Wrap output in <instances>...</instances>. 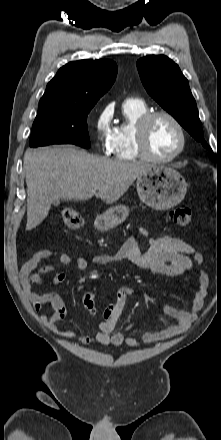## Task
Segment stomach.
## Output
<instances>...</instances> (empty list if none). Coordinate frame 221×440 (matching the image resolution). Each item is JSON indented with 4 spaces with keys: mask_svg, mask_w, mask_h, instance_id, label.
I'll use <instances>...</instances> for the list:
<instances>
[{
    "mask_svg": "<svg viewBox=\"0 0 221 440\" xmlns=\"http://www.w3.org/2000/svg\"><path fill=\"white\" fill-rule=\"evenodd\" d=\"M137 192L140 199L156 210L170 209L185 197L187 183L176 170L165 166H153L137 178ZM129 215L125 205L109 208L95 220V227L107 231L117 227Z\"/></svg>",
    "mask_w": 221,
    "mask_h": 440,
    "instance_id": "1",
    "label": "stomach"
}]
</instances>
